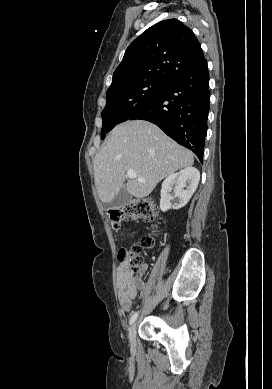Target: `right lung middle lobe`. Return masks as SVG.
<instances>
[{
	"label": "right lung middle lobe",
	"mask_w": 272,
	"mask_h": 389,
	"mask_svg": "<svg viewBox=\"0 0 272 389\" xmlns=\"http://www.w3.org/2000/svg\"><path fill=\"white\" fill-rule=\"evenodd\" d=\"M165 82L144 80L107 91L102 111L101 139L117 124L124 122L147 102L156 97Z\"/></svg>",
	"instance_id": "obj_1"
}]
</instances>
